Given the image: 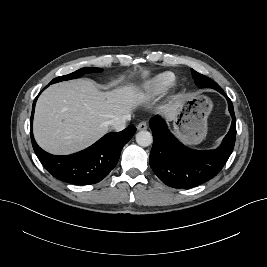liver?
Wrapping results in <instances>:
<instances>
[{"label":"liver","instance_id":"liver-1","mask_svg":"<svg viewBox=\"0 0 267 267\" xmlns=\"http://www.w3.org/2000/svg\"><path fill=\"white\" fill-rule=\"evenodd\" d=\"M150 99L133 85L101 92L93 81L80 79L47 88L39 97L33 133L39 146L56 155L80 151L108 131L109 122L127 115ZM182 97L161 105L158 111L173 120Z\"/></svg>","mask_w":267,"mask_h":267}]
</instances>
